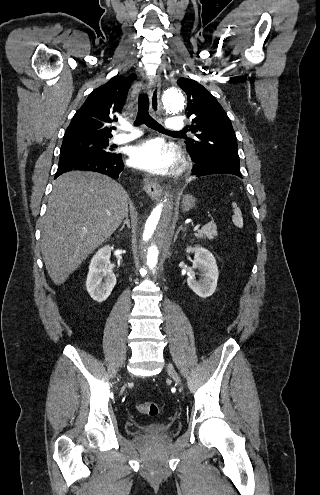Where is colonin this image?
<instances>
[{"instance_id": "5ec220e1", "label": "colon", "mask_w": 320, "mask_h": 495, "mask_svg": "<svg viewBox=\"0 0 320 495\" xmlns=\"http://www.w3.org/2000/svg\"><path fill=\"white\" fill-rule=\"evenodd\" d=\"M136 407L141 414L150 417H155L159 413V405L156 402H141Z\"/></svg>"}]
</instances>
